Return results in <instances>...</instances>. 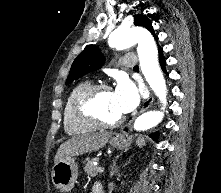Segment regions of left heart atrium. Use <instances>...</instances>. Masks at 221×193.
I'll return each instance as SVG.
<instances>
[{
  "instance_id": "obj_1",
  "label": "left heart atrium",
  "mask_w": 221,
  "mask_h": 193,
  "mask_svg": "<svg viewBox=\"0 0 221 193\" xmlns=\"http://www.w3.org/2000/svg\"><path fill=\"white\" fill-rule=\"evenodd\" d=\"M113 98L120 113L126 114L138 106L140 91L132 81L127 78H121L113 91Z\"/></svg>"
}]
</instances>
